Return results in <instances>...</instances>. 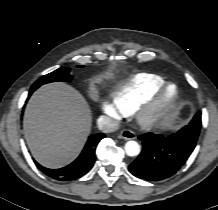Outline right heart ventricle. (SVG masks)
Returning <instances> with one entry per match:
<instances>
[{"instance_id":"e07e8e85","label":"right heart ventricle","mask_w":218,"mask_h":210,"mask_svg":"<svg viewBox=\"0 0 218 210\" xmlns=\"http://www.w3.org/2000/svg\"><path fill=\"white\" fill-rule=\"evenodd\" d=\"M165 83L152 73H140L122 83L114 94V102L123 114H130L147 102Z\"/></svg>"}]
</instances>
